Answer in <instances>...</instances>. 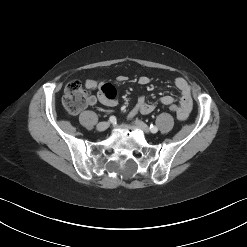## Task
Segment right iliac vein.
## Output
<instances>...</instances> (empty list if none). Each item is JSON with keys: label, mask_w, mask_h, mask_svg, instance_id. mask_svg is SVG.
<instances>
[{"label": "right iliac vein", "mask_w": 247, "mask_h": 247, "mask_svg": "<svg viewBox=\"0 0 247 247\" xmlns=\"http://www.w3.org/2000/svg\"><path fill=\"white\" fill-rule=\"evenodd\" d=\"M110 126V123L109 122H100L98 125H97V130L98 131H105L108 127Z\"/></svg>", "instance_id": "63e3f726"}]
</instances>
